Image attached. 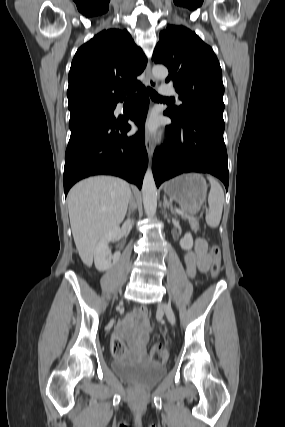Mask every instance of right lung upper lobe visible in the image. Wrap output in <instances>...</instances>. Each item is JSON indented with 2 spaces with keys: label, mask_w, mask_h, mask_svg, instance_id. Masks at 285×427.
<instances>
[{
  "label": "right lung upper lobe",
  "mask_w": 285,
  "mask_h": 427,
  "mask_svg": "<svg viewBox=\"0 0 285 427\" xmlns=\"http://www.w3.org/2000/svg\"><path fill=\"white\" fill-rule=\"evenodd\" d=\"M147 59L126 30H103L76 52L67 90L71 113L95 105H115L125 99L123 89L139 88L136 76Z\"/></svg>",
  "instance_id": "right-lung-upper-lobe-1"
}]
</instances>
